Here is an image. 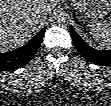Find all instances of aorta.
<instances>
[{
    "mask_svg": "<svg viewBox=\"0 0 111 106\" xmlns=\"http://www.w3.org/2000/svg\"><path fill=\"white\" fill-rule=\"evenodd\" d=\"M58 23H60L61 25H66L67 24V21H66V18L64 16H60L58 17Z\"/></svg>",
    "mask_w": 111,
    "mask_h": 106,
    "instance_id": "762f6f07",
    "label": "aorta"
}]
</instances>
